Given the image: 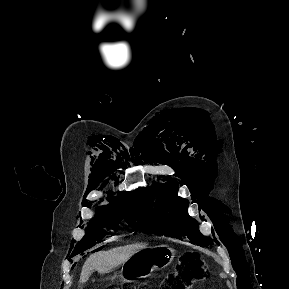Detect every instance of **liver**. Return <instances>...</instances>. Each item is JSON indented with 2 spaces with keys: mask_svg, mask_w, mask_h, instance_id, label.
Masks as SVG:
<instances>
[{
  "mask_svg": "<svg viewBox=\"0 0 289 289\" xmlns=\"http://www.w3.org/2000/svg\"><path fill=\"white\" fill-rule=\"evenodd\" d=\"M145 248V244H131L92 254L84 263L80 274V283H85L93 270L105 274L126 262L133 254Z\"/></svg>",
  "mask_w": 289,
  "mask_h": 289,
  "instance_id": "obj_1",
  "label": "liver"
}]
</instances>
